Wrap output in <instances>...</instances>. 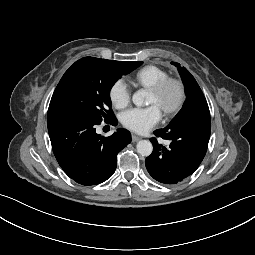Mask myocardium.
Here are the masks:
<instances>
[{"instance_id":"f54148a6","label":"myocardium","mask_w":255,"mask_h":255,"mask_svg":"<svg viewBox=\"0 0 255 255\" xmlns=\"http://www.w3.org/2000/svg\"><path fill=\"white\" fill-rule=\"evenodd\" d=\"M170 86L176 87L178 95L173 105L163 109V112L166 115L175 114L176 112L180 110V108L184 104V101L186 99V88L184 83L178 78L168 77L160 81L156 85L152 86L151 88H149L150 92L156 95H160Z\"/></svg>"}]
</instances>
